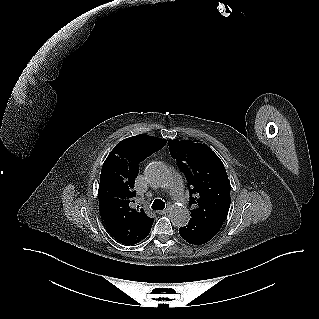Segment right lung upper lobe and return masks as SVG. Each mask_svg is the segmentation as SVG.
<instances>
[{"mask_svg": "<svg viewBox=\"0 0 319 319\" xmlns=\"http://www.w3.org/2000/svg\"><path fill=\"white\" fill-rule=\"evenodd\" d=\"M166 140L144 134L120 141L106 158L99 184V211L110 234L125 245H134L150 232L154 219L132 209L134 179L139 163L160 150Z\"/></svg>", "mask_w": 319, "mask_h": 319, "instance_id": "cb5924a9", "label": "right lung upper lobe"}]
</instances>
